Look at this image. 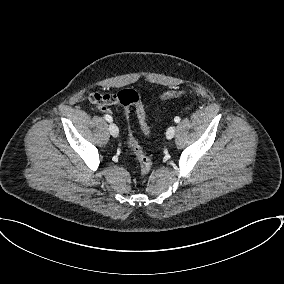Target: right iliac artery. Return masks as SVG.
Listing matches in <instances>:
<instances>
[{
	"mask_svg": "<svg viewBox=\"0 0 284 284\" xmlns=\"http://www.w3.org/2000/svg\"><path fill=\"white\" fill-rule=\"evenodd\" d=\"M104 118L108 121V122H112V117L109 115H105Z\"/></svg>",
	"mask_w": 284,
	"mask_h": 284,
	"instance_id": "obj_1",
	"label": "right iliac artery"
}]
</instances>
